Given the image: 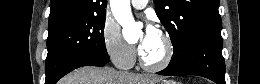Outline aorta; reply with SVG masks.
<instances>
[{
  "mask_svg": "<svg viewBox=\"0 0 260 84\" xmlns=\"http://www.w3.org/2000/svg\"><path fill=\"white\" fill-rule=\"evenodd\" d=\"M112 13L122 26V33L127 41H134L139 37L140 26L134 21L130 0H110Z\"/></svg>",
  "mask_w": 260,
  "mask_h": 84,
  "instance_id": "1",
  "label": "aorta"
}]
</instances>
